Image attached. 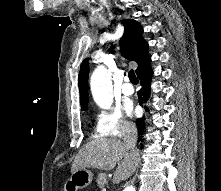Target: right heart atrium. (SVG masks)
<instances>
[{
  "mask_svg": "<svg viewBox=\"0 0 221 191\" xmlns=\"http://www.w3.org/2000/svg\"><path fill=\"white\" fill-rule=\"evenodd\" d=\"M134 130L133 124L120 108L100 110L93 124V135L99 137L123 138Z\"/></svg>",
  "mask_w": 221,
  "mask_h": 191,
  "instance_id": "right-heart-atrium-1",
  "label": "right heart atrium"
}]
</instances>
